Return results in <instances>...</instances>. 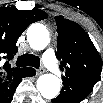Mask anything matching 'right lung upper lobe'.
<instances>
[{
	"label": "right lung upper lobe",
	"mask_w": 103,
	"mask_h": 103,
	"mask_svg": "<svg viewBox=\"0 0 103 103\" xmlns=\"http://www.w3.org/2000/svg\"><path fill=\"white\" fill-rule=\"evenodd\" d=\"M46 17L44 11L36 8L33 10H19L16 7L0 8V84L11 82L24 70V68H12L9 64V60L17 52V39L31 23Z\"/></svg>",
	"instance_id": "1"
}]
</instances>
